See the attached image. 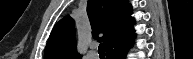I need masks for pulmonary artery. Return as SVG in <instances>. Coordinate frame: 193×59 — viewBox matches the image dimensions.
I'll return each instance as SVG.
<instances>
[{
  "label": "pulmonary artery",
  "instance_id": "e3ab8cb5",
  "mask_svg": "<svg viewBox=\"0 0 193 59\" xmlns=\"http://www.w3.org/2000/svg\"><path fill=\"white\" fill-rule=\"evenodd\" d=\"M87 57L89 59H97V54L95 53V51L93 49H91L88 51Z\"/></svg>",
  "mask_w": 193,
  "mask_h": 59
}]
</instances>
